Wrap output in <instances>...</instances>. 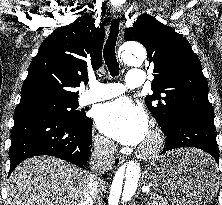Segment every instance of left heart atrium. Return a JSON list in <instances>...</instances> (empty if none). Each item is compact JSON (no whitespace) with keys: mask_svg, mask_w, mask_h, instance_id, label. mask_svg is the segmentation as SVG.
Listing matches in <instances>:
<instances>
[{"mask_svg":"<svg viewBox=\"0 0 222 205\" xmlns=\"http://www.w3.org/2000/svg\"><path fill=\"white\" fill-rule=\"evenodd\" d=\"M96 122L105 135L123 144L137 145L148 135L146 113L127 98L101 105L96 113Z\"/></svg>","mask_w":222,"mask_h":205,"instance_id":"39dd6f15","label":"left heart atrium"}]
</instances>
